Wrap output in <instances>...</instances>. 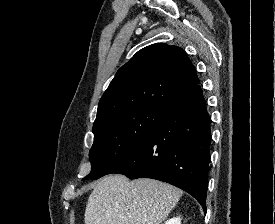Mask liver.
Returning <instances> with one entry per match:
<instances>
[{"label": "liver", "mask_w": 275, "mask_h": 224, "mask_svg": "<svg viewBox=\"0 0 275 224\" xmlns=\"http://www.w3.org/2000/svg\"><path fill=\"white\" fill-rule=\"evenodd\" d=\"M178 188L154 179L120 174L96 183L88 198L85 224H161L182 196Z\"/></svg>", "instance_id": "1"}]
</instances>
